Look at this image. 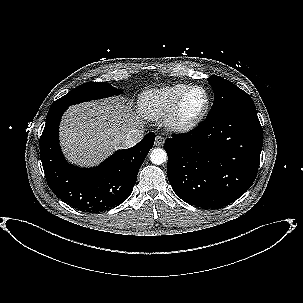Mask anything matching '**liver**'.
I'll return each instance as SVG.
<instances>
[{
	"label": "liver",
	"instance_id": "obj_1",
	"mask_svg": "<svg viewBox=\"0 0 303 303\" xmlns=\"http://www.w3.org/2000/svg\"><path fill=\"white\" fill-rule=\"evenodd\" d=\"M143 122L119 97L71 106L60 125L63 152L72 163L91 166L122 148L125 135Z\"/></svg>",
	"mask_w": 303,
	"mask_h": 303
}]
</instances>
